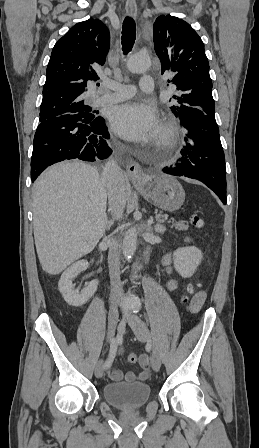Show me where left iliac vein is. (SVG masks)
Listing matches in <instances>:
<instances>
[{"instance_id":"obj_1","label":"left iliac vein","mask_w":259,"mask_h":448,"mask_svg":"<svg viewBox=\"0 0 259 448\" xmlns=\"http://www.w3.org/2000/svg\"><path fill=\"white\" fill-rule=\"evenodd\" d=\"M123 318L129 324V326L131 327V329L133 330L135 336L139 341L141 342L148 341L152 344V357H151L152 367L154 371L156 372L159 371L161 367L160 356L158 350L152 343L151 335L145 322L139 316L129 312H124Z\"/></svg>"}]
</instances>
